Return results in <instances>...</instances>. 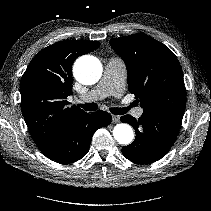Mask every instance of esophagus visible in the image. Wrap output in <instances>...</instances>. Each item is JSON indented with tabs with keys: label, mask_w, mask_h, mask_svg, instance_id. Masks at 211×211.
Here are the masks:
<instances>
[{
	"label": "esophagus",
	"mask_w": 211,
	"mask_h": 211,
	"mask_svg": "<svg viewBox=\"0 0 211 211\" xmlns=\"http://www.w3.org/2000/svg\"><path fill=\"white\" fill-rule=\"evenodd\" d=\"M120 121V117L116 115H112V122L113 123H118Z\"/></svg>",
	"instance_id": "34e87169"
}]
</instances>
